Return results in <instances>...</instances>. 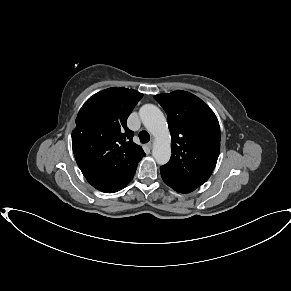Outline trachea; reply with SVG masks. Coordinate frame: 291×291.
I'll use <instances>...</instances> for the list:
<instances>
[{
    "label": "trachea",
    "mask_w": 291,
    "mask_h": 291,
    "mask_svg": "<svg viewBox=\"0 0 291 291\" xmlns=\"http://www.w3.org/2000/svg\"><path fill=\"white\" fill-rule=\"evenodd\" d=\"M139 139H140L141 143H147L150 140V135L147 131H141L139 133Z\"/></svg>",
    "instance_id": "obj_1"
}]
</instances>
